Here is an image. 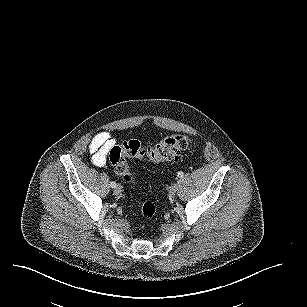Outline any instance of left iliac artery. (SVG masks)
I'll return each instance as SVG.
<instances>
[{"mask_svg": "<svg viewBox=\"0 0 307 307\" xmlns=\"http://www.w3.org/2000/svg\"><path fill=\"white\" fill-rule=\"evenodd\" d=\"M177 176H178L179 178L183 177V172H181V171L178 172Z\"/></svg>", "mask_w": 307, "mask_h": 307, "instance_id": "1", "label": "left iliac artery"}]
</instances>
